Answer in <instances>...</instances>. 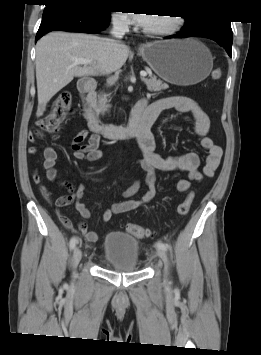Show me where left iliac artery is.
<instances>
[{
    "instance_id": "obj_1",
    "label": "left iliac artery",
    "mask_w": 261,
    "mask_h": 355,
    "mask_svg": "<svg viewBox=\"0 0 261 355\" xmlns=\"http://www.w3.org/2000/svg\"><path fill=\"white\" fill-rule=\"evenodd\" d=\"M155 245H156V247H158L159 249H162L164 251H167L169 248L168 244L160 242V241L156 242Z\"/></svg>"
}]
</instances>
